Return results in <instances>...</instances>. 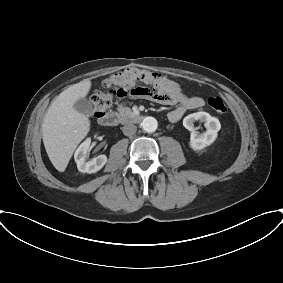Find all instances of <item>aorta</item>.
Returning <instances> with one entry per match:
<instances>
[{"label":"aorta","instance_id":"obj_1","mask_svg":"<svg viewBox=\"0 0 283 283\" xmlns=\"http://www.w3.org/2000/svg\"><path fill=\"white\" fill-rule=\"evenodd\" d=\"M142 129L148 133L155 132L158 127V122L154 117H145L141 123Z\"/></svg>","mask_w":283,"mask_h":283}]
</instances>
